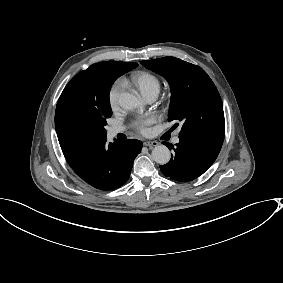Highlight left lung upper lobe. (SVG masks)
Here are the masks:
<instances>
[{
    "label": "left lung upper lobe",
    "instance_id": "left-lung-upper-lobe-1",
    "mask_svg": "<svg viewBox=\"0 0 283 283\" xmlns=\"http://www.w3.org/2000/svg\"><path fill=\"white\" fill-rule=\"evenodd\" d=\"M141 63L169 82L172 97L168 120L183 123L179 137L222 145L225 130L222 100L207 73L175 57Z\"/></svg>",
    "mask_w": 283,
    "mask_h": 283
}]
</instances>
